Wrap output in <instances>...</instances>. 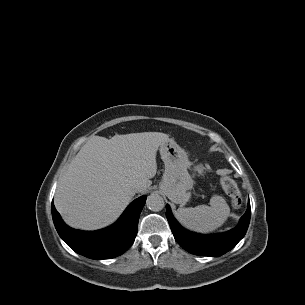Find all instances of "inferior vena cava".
I'll list each match as a JSON object with an SVG mask.
<instances>
[{
    "instance_id": "inferior-vena-cava-1",
    "label": "inferior vena cava",
    "mask_w": 305,
    "mask_h": 305,
    "mask_svg": "<svg viewBox=\"0 0 305 305\" xmlns=\"http://www.w3.org/2000/svg\"><path fill=\"white\" fill-rule=\"evenodd\" d=\"M134 189H135V190H138V189H139V185H135V186H134Z\"/></svg>"
}]
</instances>
